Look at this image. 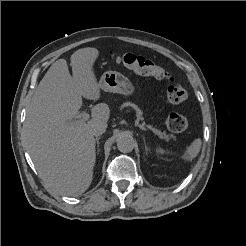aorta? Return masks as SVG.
<instances>
[{"label":"aorta","instance_id":"1","mask_svg":"<svg viewBox=\"0 0 246 246\" xmlns=\"http://www.w3.org/2000/svg\"><path fill=\"white\" fill-rule=\"evenodd\" d=\"M117 148L122 153H129L134 149V139L128 133H121L118 135Z\"/></svg>","mask_w":246,"mask_h":246}]
</instances>
